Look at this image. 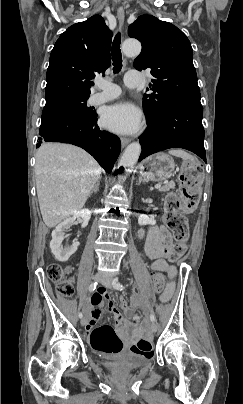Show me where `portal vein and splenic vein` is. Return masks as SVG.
<instances>
[{"instance_id":"obj_1","label":"portal vein and splenic vein","mask_w":243,"mask_h":404,"mask_svg":"<svg viewBox=\"0 0 243 404\" xmlns=\"http://www.w3.org/2000/svg\"><path fill=\"white\" fill-rule=\"evenodd\" d=\"M155 188H161V184H156Z\"/></svg>"}]
</instances>
